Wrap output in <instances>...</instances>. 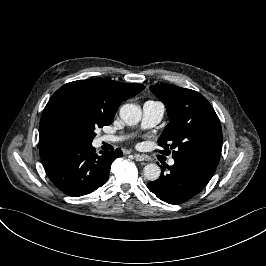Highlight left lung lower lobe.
Masks as SVG:
<instances>
[{
  "mask_svg": "<svg viewBox=\"0 0 266 266\" xmlns=\"http://www.w3.org/2000/svg\"><path fill=\"white\" fill-rule=\"evenodd\" d=\"M174 160L173 166L161 167L160 178L149 182L147 187L162 201L181 204L204 189L214 175L216 166L193 158L178 157ZM166 168L168 173H164Z\"/></svg>",
  "mask_w": 266,
  "mask_h": 266,
  "instance_id": "0a47b994",
  "label": "left lung lower lobe"
}]
</instances>
